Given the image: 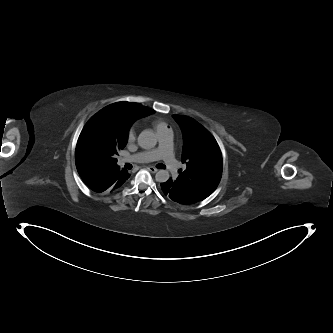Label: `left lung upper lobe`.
<instances>
[{
  "mask_svg": "<svg viewBox=\"0 0 333 333\" xmlns=\"http://www.w3.org/2000/svg\"><path fill=\"white\" fill-rule=\"evenodd\" d=\"M183 134L184 170L173 180L200 200L217 188L222 174V156L213 136L194 119L173 115Z\"/></svg>",
  "mask_w": 333,
  "mask_h": 333,
  "instance_id": "left-lung-upper-lobe-1",
  "label": "left lung upper lobe"
}]
</instances>
